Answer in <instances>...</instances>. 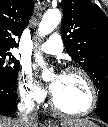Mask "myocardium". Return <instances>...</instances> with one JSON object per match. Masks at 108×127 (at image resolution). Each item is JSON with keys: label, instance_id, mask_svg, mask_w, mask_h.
<instances>
[{"label": "myocardium", "instance_id": "1", "mask_svg": "<svg viewBox=\"0 0 108 127\" xmlns=\"http://www.w3.org/2000/svg\"><path fill=\"white\" fill-rule=\"evenodd\" d=\"M70 73H77L82 76L84 79L88 89H89V94H90V103L88 107L80 112H68L57 104L53 92L51 93L50 96V106L51 108L57 112L58 114L64 115V116H69V117H83L91 112L96 108L97 102H98V94L96 90V86L91 78V76L82 68L79 67H68L63 71V74H70Z\"/></svg>", "mask_w": 108, "mask_h": 127}]
</instances>
